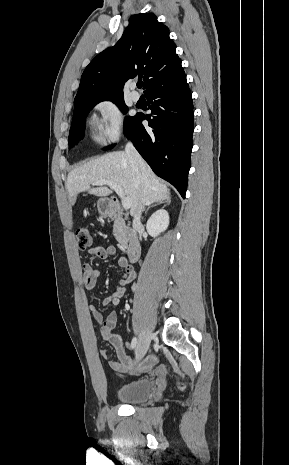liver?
<instances>
[{"instance_id":"obj_1","label":"liver","mask_w":289,"mask_h":465,"mask_svg":"<svg viewBox=\"0 0 289 465\" xmlns=\"http://www.w3.org/2000/svg\"><path fill=\"white\" fill-rule=\"evenodd\" d=\"M99 180L112 181L122 188L132 201L130 213L133 216L142 204V191H145V205L164 201L170 195L167 185L160 181L147 163L144 162V166L136 173L126 152L115 151L91 160L68 174L66 187L71 205L75 204L77 195L81 192L87 191L100 197L109 196L112 191L107 187H91Z\"/></svg>"}]
</instances>
